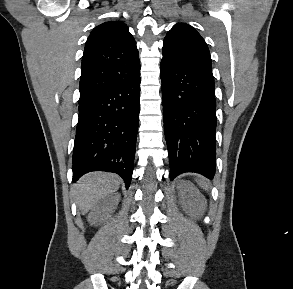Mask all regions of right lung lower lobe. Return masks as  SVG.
I'll list each match as a JSON object with an SVG mask.
<instances>
[{"label":"right lung lower lobe","instance_id":"obj_1","mask_svg":"<svg viewBox=\"0 0 293 289\" xmlns=\"http://www.w3.org/2000/svg\"><path fill=\"white\" fill-rule=\"evenodd\" d=\"M140 76L79 103L73 182L91 171L120 175L130 186L139 121Z\"/></svg>","mask_w":293,"mask_h":289}]
</instances>
